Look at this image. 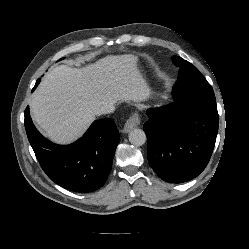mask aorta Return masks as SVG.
Instances as JSON below:
<instances>
[{"label": "aorta", "instance_id": "1", "mask_svg": "<svg viewBox=\"0 0 249 249\" xmlns=\"http://www.w3.org/2000/svg\"><path fill=\"white\" fill-rule=\"evenodd\" d=\"M129 141L135 146H142L146 142V134L141 129H133L129 133Z\"/></svg>", "mask_w": 249, "mask_h": 249}]
</instances>
